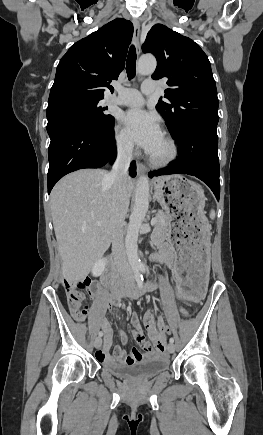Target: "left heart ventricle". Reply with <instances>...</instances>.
<instances>
[{"label":"left heart ventricle","instance_id":"b2bd125f","mask_svg":"<svg viewBox=\"0 0 263 435\" xmlns=\"http://www.w3.org/2000/svg\"><path fill=\"white\" fill-rule=\"evenodd\" d=\"M169 150H170L169 145L166 142V140L163 138L151 154L157 158H163L168 155Z\"/></svg>","mask_w":263,"mask_h":435}]
</instances>
